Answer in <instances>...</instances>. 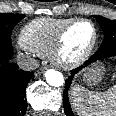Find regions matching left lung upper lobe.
Here are the masks:
<instances>
[{"instance_id": "obj_1", "label": "left lung upper lobe", "mask_w": 116, "mask_h": 116, "mask_svg": "<svg viewBox=\"0 0 116 116\" xmlns=\"http://www.w3.org/2000/svg\"><path fill=\"white\" fill-rule=\"evenodd\" d=\"M93 17L96 18L104 32V41L97 52L116 50V20H109L98 15Z\"/></svg>"}]
</instances>
